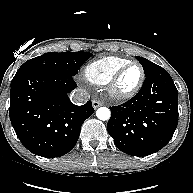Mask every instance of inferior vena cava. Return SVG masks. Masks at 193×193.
I'll list each match as a JSON object with an SVG mask.
<instances>
[{"label":"inferior vena cava","mask_w":193,"mask_h":193,"mask_svg":"<svg viewBox=\"0 0 193 193\" xmlns=\"http://www.w3.org/2000/svg\"><path fill=\"white\" fill-rule=\"evenodd\" d=\"M70 99L72 103L76 105H82L83 103H86L90 99V95L86 90L78 88L73 91V93L70 96Z\"/></svg>","instance_id":"602c4592"}]
</instances>
